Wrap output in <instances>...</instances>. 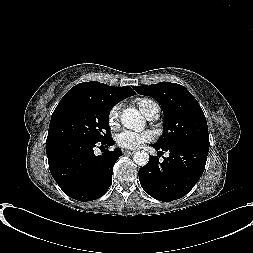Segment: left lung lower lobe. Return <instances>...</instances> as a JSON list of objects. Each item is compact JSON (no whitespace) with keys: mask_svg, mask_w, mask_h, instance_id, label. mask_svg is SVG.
<instances>
[{"mask_svg":"<svg viewBox=\"0 0 253 253\" xmlns=\"http://www.w3.org/2000/svg\"><path fill=\"white\" fill-rule=\"evenodd\" d=\"M157 151H168L169 157L159 162L156 156L139 172L144 191L151 197L168 202L185 196L200 179L206 164L209 146L192 142H177L167 147L152 145Z\"/></svg>","mask_w":253,"mask_h":253,"instance_id":"obj_1","label":"left lung lower lobe"}]
</instances>
